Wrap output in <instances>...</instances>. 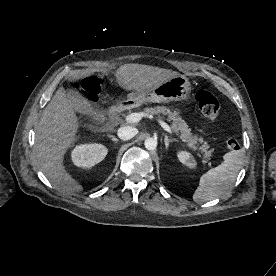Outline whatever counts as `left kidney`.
<instances>
[{
    "label": "left kidney",
    "mask_w": 276,
    "mask_h": 276,
    "mask_svg": "<svg viewBox=\"0 0 276 276\" xmlns=\"http://www.w3.org/2000/svg\"><path fill=\"white\" fill-rule=\"evenodd\" d=\"M177 157L181 163L184 165L194 168L196 166V161L192 157V155L187 151H181L177 154Z\"/></svg>",
    "instance_id": "left-kidney-1"
}]
</instances>
